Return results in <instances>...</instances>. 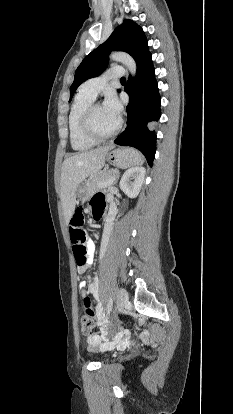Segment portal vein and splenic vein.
<instances>
[{
    "label": "portal vein and splenic vein",
    "mask_w": 233,
    "mask_h": 414,
    "mask_svg": "<svg viewBox=\"0 0 233 414\" xmlns=\"http://www.w3.org/2000/svg\"><path fill=\"white\" fill-rule=\"evenodd\" d=\"M114 180H115V177H112L111 179H109V180L105 183V186H110V185H112V184H113V182H114Z\"/></svg>",
    "instance_id": "portal-vein-and-splenic-vein-1"
}]
</instances>
